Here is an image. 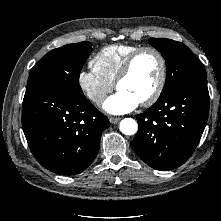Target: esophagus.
<instances>
[{"label": "esophagus", "mask_w": 221, "mask_h": 221, "mask_svg": "<svg viewBox=\"0 0 221 221\" xmlns=\"http://www.w3.org/2000/svg\"><path fill=\"white\" fill-rule=\"evenodd\" d=\"M120 119H121V118H119V117H109V121H110V123H112V124L118 123V122L120 121Z\"/></svg>", "instance_id": "1"}]
</instances>
